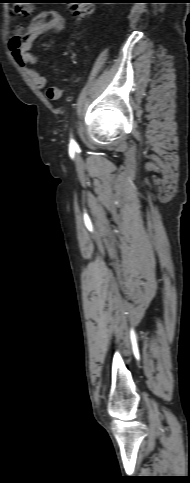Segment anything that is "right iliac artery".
Segmentation results:
<instances>
[{"mask_svg": "<svg viewBox=\"0 0 190 483\" xmlns=\"http://www.w3.org/2000/svg\"><path fill=\"white\" fill-rule=\"evenodd\" d=\"M75 144H76V143H75V141H74L73 139H71V141H70V145H71V146H73V145H75Z\"/></svg>", "mask_w": 190, "mask_h": 483, "instance_id": "1", "label": "right iliac artery"}]
</instances>
